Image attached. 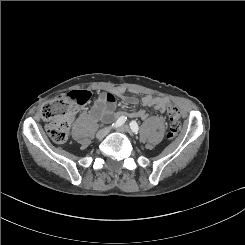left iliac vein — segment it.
Here are the masks:
<instances>
[{
  "mask_svg": "<svg viewBox=\"0 0 245 245\" xmlns=\"http://www.w3.org/2000/svg\"><path fill=\"white\" fill-rule=\"evenodd\" d=\"M118 130L120 131V132H129L130 131V127L128 126V125H122L121 127H119L118 128Z\"/></svg>",
  "mask_w": 245,
  "mask_h": 245,
  "instance_id": "obj_1",
  "label": "left iliac vein"
}]
</instances>
